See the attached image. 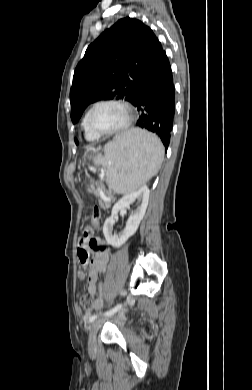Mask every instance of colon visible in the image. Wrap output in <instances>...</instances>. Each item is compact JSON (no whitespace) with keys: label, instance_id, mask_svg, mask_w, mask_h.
<instances>
[{"label":"colon","instance_id":"5ec220e1","mask_svg":"<svg viewBox=\"0 0 252 390\" xmlns=\"http://www.w3.org/2000/svg\"><path fill=\"white\" fill-rule=\"evenodd\" d=\"M101 217V213L99 209H95L92 216V224L95 228L99 226V220ZM88 257L86 254H83L81 257V264L83 265V268L79 271V277L82 280H88L89 279V273L88 270L85 268L84 263L87 261ZM94 305V299L90 294H83L80 298V306L81 308L89 312L93 309Z\"/></svg>","mask_w":252,"mask_h":390}]
</instances>
